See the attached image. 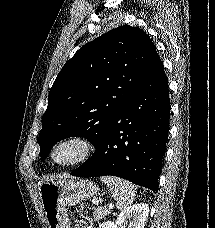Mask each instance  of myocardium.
I'll list each match as a JSON object with an SVG mask.
<instances>
[{"label": "myocardium", "instance_id": "f54148a6", "mask_svg": "<svg viewBox=\"0 0 215 228\" xmlns=\"http://www.w3.org/2000/svg\"><path fill=\"white\" fill-rule=\"evenodd\" d=\"M69 150L70 155L67 158H57L62 150ZM94 146L92 141L81 134H73L62 137L53 143L47 154L48 162L55 167H64L78 163L93 152Z\"/></svg>", "mask_w": 215, "mask_h": 228}]
</instances>
